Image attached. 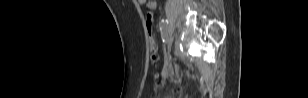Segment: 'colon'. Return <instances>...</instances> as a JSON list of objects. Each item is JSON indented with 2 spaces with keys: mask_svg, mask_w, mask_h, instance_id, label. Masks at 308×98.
<instances>
[{
  "mask_svg": "<svg viewBox=\"0 0 308 98\" xmlns=\"http://www.w3.org/2000/svg\"><path fill=\"white\" fill-rule=\"evenodd\" d=\"M146 28L149 35V40L152 46V55L151 59L153 62H156L158 57L155 53V36H154V26H153V15L151 12H148L146 15Z\"/></svg>",
  "mask_w": 308,
  "mask_h": 98,
  "instance_id": "obj_1",
  "label": "colon"
}]
</instances>
